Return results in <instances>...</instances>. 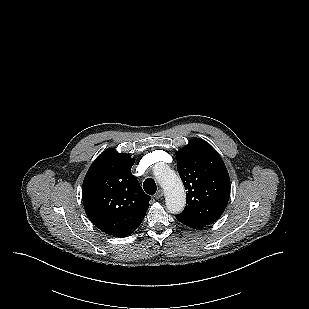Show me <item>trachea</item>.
Instances as JSON below:
<instances>
[{"label":"trachea","instance_id":"obj_1","mask_svg":"<svg viewBox=\"0 0 309 309\" xmlns=\"http://www.w3.org/2000/svg\"><path fill=\"white\" fill-rule=\"evenodd\" d=\"M143 188L145 192L150 195L155 194L157 190L156 183L151 178H148L144 181Z\"/></svg>","mask_w":309,"mask_h":309}]
</instances>
